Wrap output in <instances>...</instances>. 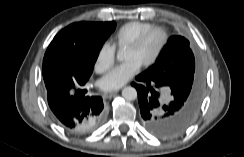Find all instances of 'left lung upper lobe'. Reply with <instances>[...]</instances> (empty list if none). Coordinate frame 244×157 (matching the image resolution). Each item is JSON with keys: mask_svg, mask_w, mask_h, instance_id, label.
Masks as SVG:
<instances>
[{"mask_svg": "<svg viewBox=\"0 0 244 157\" xmlns=\"http://www.w3.org/2000/svg\"><path fill=\"white\" fill-rule=\"evenodd\" d=\"M143 73L159 78L173 93L200 103L203 81L186 38L170 37L156 62Z\"/></svg>", "mask_w": 244, "mask_h": 157, "instance_id": "1", "label": "left lung upper lobe"}]
</instances>
